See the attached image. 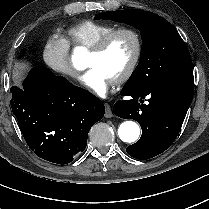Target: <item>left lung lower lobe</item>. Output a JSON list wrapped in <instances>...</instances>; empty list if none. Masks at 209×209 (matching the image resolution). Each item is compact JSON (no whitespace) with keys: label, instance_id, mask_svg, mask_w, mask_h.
I'll return each instance as SVG.
<instances>
[{"label":"left lung lower lobe","instance_id":"left-lung-lower-lobe-1","mask_svg":"<svg viewBox=\"0 0 209 209\" xmlns=\"http://www.w3.org/2000/svg\"><path fill=\"white\" fill-rule=\"evenodd\" d=\"M193 92V73L146 86L124 85L120 93L131 99L117 101L114 114L134 119L142 128L141 138L127 147V153L146 160L168 149L180 131Z\"/></svg>","mask_w":209,"mask_h":209}]
</instances>
